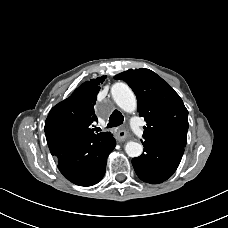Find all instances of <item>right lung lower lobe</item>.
I'll return each instance as SVG.
<instances>
[{
	"label": "right lung lower lobe",
	"instance_id": "98d812e1",
	"mask_svg": "<svg viewBox=\"0 0 228 228\" xmlns=\"http://www.w3.org/2000/svg\"><path fill=\"white\" fill-rule=\"evenodd\" d=\"M115 145L112 135L80 136L49 146V149L57 159L60 172L69 181L80 186H91L103 178L107 157Z\"/></svg>",
	"mask_w": 228,
	"mask_h": 228
}]
</instances>
